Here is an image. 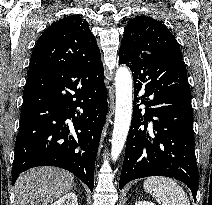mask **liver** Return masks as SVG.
Returning a JSON list of instances; mask_svg holds the SVG:
<instances>
[{
	"label": "liver",
	"mask_w": 212,
	"mask_h": 205,
	"mask_svg": "<svg viewBox=\"0 0 212 205\" xmlns=\"http://www.w3.org/2000/svg\"><path fill=\"white\" fill-rule=\"evenodd\" d=\"M74 176L60 168L39 167L22 174L15 184L17 205H48L71 191Z\"/></svg>",
	"instance_id": "obj_1"
}]
</instances>
